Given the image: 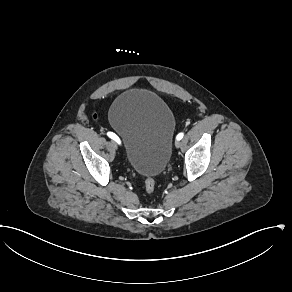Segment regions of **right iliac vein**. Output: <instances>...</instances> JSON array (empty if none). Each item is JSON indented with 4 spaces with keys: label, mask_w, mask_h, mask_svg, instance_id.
I'll return each instance as SVG.
<instances>
[{
    "label": "right iliac vein",
    "mask_w": 292,
    "mask_h": 292,
    "mask_svg": "<svg viewBox=\"0 0 292 292\" xmlns=\"http://www.w3.org/2000/svg\"><path fill=\"white\" fill-rule=\"evenodd\" d=\"M111 146L114 148V149H117V144L115 141H111Z\"/></svg>",
    "instance_id": "1"
}]
</instances>
